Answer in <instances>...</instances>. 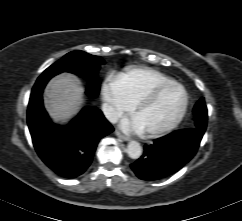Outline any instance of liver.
Instances as JSON below:
<instances>
[{"label": "liver", "mask_w": 242, "mask_h": 221, "mask_svg": "<svg viewBox=\"0 0 242 221\" xmlns=\"http://www.w3.org/2000/svg\"><path fill=\"white\" fill-rule=\"evenodd\" d=\"M45 92V108L54 123L63 124L70 120L79 112L84 102L81 82L71 74L53 78Z\"/></svg>", "instance_id": "obj_1"}]
</instances>
